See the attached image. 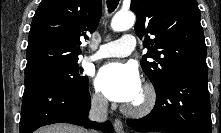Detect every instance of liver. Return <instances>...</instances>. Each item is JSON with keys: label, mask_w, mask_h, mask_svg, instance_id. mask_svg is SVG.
<instances>
[{"label": "liver", "mask_w": 221, "mask_h": 133, "mask_svg": "<svg viewBox=\"0 0 221 133\" xmlns=\"http://www.w3.org/2000/svg\"><path fill=\"white\" fill-rule=\"evenodd\" d=\"M37 133H87V131L73 125L59 123L39 129Z\"/></svg>", "instance_id": "obj_1"}]
</instances>
